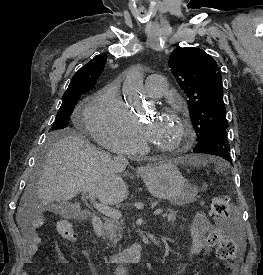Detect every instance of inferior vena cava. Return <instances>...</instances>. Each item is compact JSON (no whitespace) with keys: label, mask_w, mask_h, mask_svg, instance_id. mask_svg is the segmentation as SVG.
<instances>
[{"label":"inferior vena cava","mask_w":263,"mask_h":275,"mask_svg":"<svg viewBox=\"0 0 263 275\" xmlns=\"http://www.w3.org/2000/svg\"><path fill=\"white\" fill-rule=\"evenodd\" d=\"M114 160H115L116 162H119V163L123 164L124 166H126V165L128 164L127 159L124 158L123 156H120V155L114 157Z\"/></svg>","instance_id":"602c4592"}]
</instances>
